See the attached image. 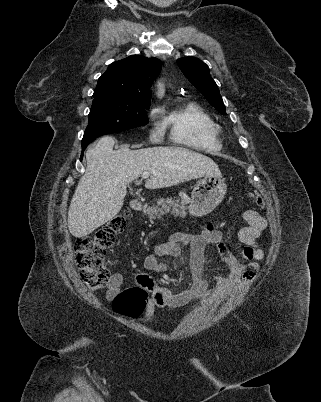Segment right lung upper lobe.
<instances>
[{"label":"right lung upper lobe","mask_w":321,"mask_h":402,"mask_svg":"<svg viewBox=\"0 0 321 402\" xmlns=\"http://www.w3.org/2000/svg\"><path fill=\"white\" fill-rule=\"evenodd\" d=\"M161 61L132 55L109 65L98 79L94 94H106L134 102L150 103V87L161 71Z\"/></svg>","instance_id":"cb5924a9"}]
</instances>
